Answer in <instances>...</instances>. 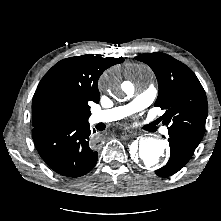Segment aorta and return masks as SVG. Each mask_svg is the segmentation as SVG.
Wrapping results in <instances>:
<instances>
[{
    "instance_id": "1",
    "label": "aorta",
    "mask_w": 221,
    "mask_h": 221,
    "mask_svg": "<svg viewBox=\"0 0 221 221\" xmlns=\"http://www.w3.org/2000/svg\"><path fill=\"white\" fill-rule=\"evenodd\" d=\"M102 86L105 89L113 92L118 89L119 80L115 74H108L102 79ZM123 91L127 95L134 93V86L132 83H127L122 86ZM166 155V144L161 140L154 137L142 138L139 141L137 150L133 152L134 160L147 168L154 167L162 163Z\"/></svg>"
}]
</instances>
